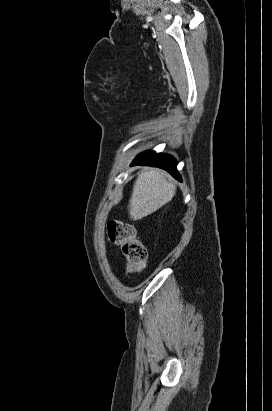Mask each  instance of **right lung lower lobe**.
Wrapping results in <instances>:
<instances>
[{
    "mask_svg": "<svg viewBox=\"0 0 272 411\" xmlns=\"http://www.w3.org/2000/svg\"><path fill=\"white\" fill-rule=\"evenodd\" d=\"M134 165L159 167L168 171L174 178L181 181V177L176 168L177 161L168 154L155 153L154 151L143 152L134 159L131 166Z\"/></svg>",
    "mask_w": 272,
    "mask_h": 411,
    "instance_id": "obj_1",
    "label": "right lung lower lobe"
}]
</instances>
